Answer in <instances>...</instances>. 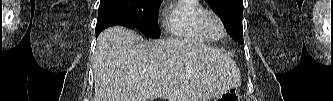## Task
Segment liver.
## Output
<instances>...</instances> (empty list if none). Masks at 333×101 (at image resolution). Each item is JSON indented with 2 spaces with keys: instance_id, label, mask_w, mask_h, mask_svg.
I'll return each mask as SVG.
<instances>
[{
  "instance_id": "1",
  "label": "liver",
  "mask_w": 333,
  "mask_h": 101,
  "mask_svg": "<svg viewBox=\"0 0 333 101\" xmlns=\"http://www.w3.org/2000/svg\"><path fill=\"white\" fill-rule=\"evenodd\" d=\"M93 70V101H208L241 85L223 49L188 39L143 41L121 26L99 35Z\"/></svg>"
}]
</instances>
